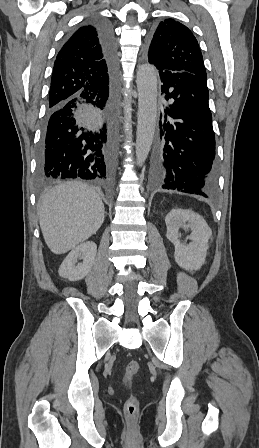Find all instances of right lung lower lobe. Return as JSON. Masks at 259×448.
Masks as SVG:
<instances>
[{
  "instance_id": "1",
  "label": "right lung lower lobe",
  "mask_w": 259,
  "mask_h": 448,
  "mask_svg": "<svg viewBox=\"0 0 259 448\" xmlns=\"http://www.w3.org/2000/svg\"><path fill=\"white\" fill-rule=\"evenodd\" d=\"M85 25L96 28L108 64L109 83L97 92H85L47 107L37 151V177L42 183L52 178L105 180L110 176L116 136L115 37L106 21L92 20Z\"/></svg>"
}]
</instances>
